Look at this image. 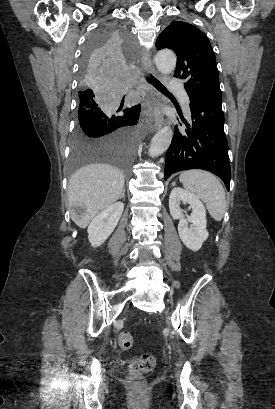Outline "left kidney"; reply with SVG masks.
Listing matches in <instances>:
<instances>
[{"label":"left kidney","mask_w":275,"mask_h":409,"mask_svg":"<svg viewBox=\"0 0 275 409\" xmlns=\"http://www.w3.org/2000/svg\"><path fill=\"white\" fill-rule=\"evenodd\" d=\"M190 205L193 213L191 217L184 219L185 215L182 213L179 205ZM169 209L173 219H180L178 225L179 237L191 251H199L204 241L208 239V233L206 231V211L203 202L199 200L198 196L184 190V188H172L169 196ZM188 223L191 229H188Z\"/></svg>","instance_id":"obj_1"}]
</instances>
